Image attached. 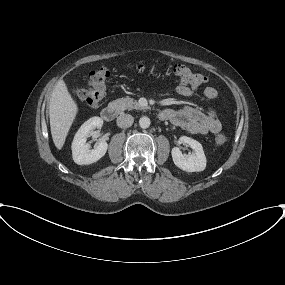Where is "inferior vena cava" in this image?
<instances>
[{
    "label": "inferior vena cava",
    "mask_w": 285,
    "mask_h": 285,
    "mask_svg": "<svg viewBox=\"0 0 285 285\" xmlns=\"http://www.w3.org/2000/svg\"><path fill=\"white\" fill-rule=\"evenodd\" d=\"M134 118L130 114L121 113L116 120L117 126L120 128H128L132 126Z\"/></svg>",
    "instance_id": "obj_1"
}]
</instances>
